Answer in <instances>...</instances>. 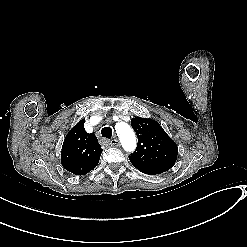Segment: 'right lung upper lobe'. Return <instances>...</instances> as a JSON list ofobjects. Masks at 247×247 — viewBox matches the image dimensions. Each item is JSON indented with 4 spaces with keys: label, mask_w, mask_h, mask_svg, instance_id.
I'll list each match as a JSON object with an SVG mask.
<instances>
[{
    "label": "right lung upper lobe",
    "mask_w": 247,
    "mask_h": 247,
    "mask_svg": "<svg viewBox=\"0 0 247 247\" xmlns=\"http://www.w3.org/2000/svg\"><path fill=\"white\" fill-rule=\"evenodd\" d=\"M85 120L75 125L65 137L61 150V164L75 175L90 172L99 162L102 149L94 134L84 129Z\"/></svg>",
    "instance_id": "obj_1"
}]
</instances>
